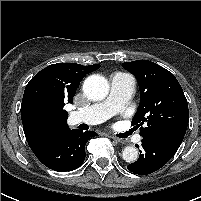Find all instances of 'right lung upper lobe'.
<instances>
[{
  "instance_id": "obj_1",
  "label": "right lung upper lobe",
  "mask_w": 201,
  "mask_h": 201,
  "mask_svg": "<svg viewBox=\"0 0 201 201\" xmlns=\"http://www.w3.org/2000/svg\"><path fill=\"white\" fill-rule=\"evenodd\" d=\"M100 68L99 64H52L38 72L27 84L21 118L25 137L32 151L44 147L70 131L63 109L71 103L84 76Z\"/></svg>"
}]
</instances>
